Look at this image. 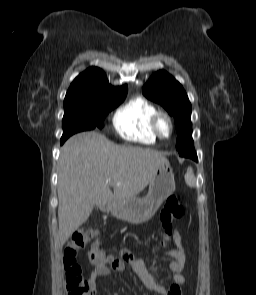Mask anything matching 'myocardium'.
<instances>
[{
    "label": "myocardium",
    "mask_w": 256,
    "mask_h": 295,
    "mask_svg": "<svg viewBox=\"0 0 256 295\" xmlns=\"http://www.w3.org/2000/svg\"><path fill=\"white\" fill-rule=\"evenodd\" d=\"M162 123H166L168 126V132L166 134L162 131ZM152 128L157 137L161 139H168L174 132V123L167 113L158 112L152 120Z\"/></svg>",
    "instance_id": "myocardium-1"
}]
</instances>
